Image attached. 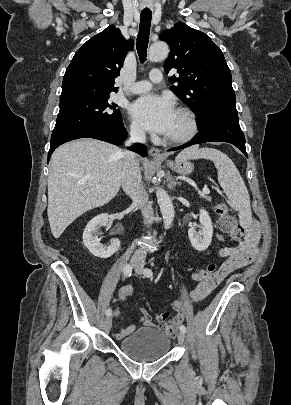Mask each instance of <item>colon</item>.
<instances>
[{
  "mask_svg": "<svg viewBox=\"0 0 291 405\" xmlns=\"http://www.w3.org/2000/svg\"><path fill=\"white\" fill-rule=\"evenodd\" d=\"M216 213L219 217V225L221 230L234 240L240 241L245 237V229L241 226L235 218L230 214L228 207L224 203L218 204ZM216 266L214 264L208 265L206 268L198 271L194 278L198 282L210 281L216 274ZM133 293L130 286H125L120 290L121 299H127Z\"/></svg>",
  "mask_w": 291,
  "mask_h": 405,
  "instance_id": "5ec220e1",
  "label": "colon"
}]
</instances>
